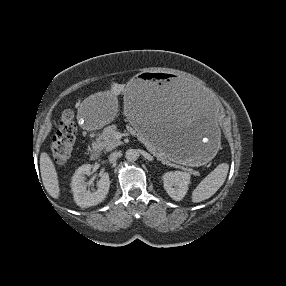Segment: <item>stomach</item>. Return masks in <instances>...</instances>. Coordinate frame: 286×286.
I'll list each match as a JSON object with an SVG mask.
<instances>
[{
  "instance_id": "stomach-1",
  "label": "stomach",
  "mask_w": 286,
  "mask_h": 286,
  "mask_svg": "<svg viewBox=\"0 0 286 286\" xmlns=\"http://www.w3.org/2000/svg\"><path fill=\"white\" fill-rule=\"evenodd\" d=\"M121 98L101 87L76 106L81 126L97 130L121 111ZM124 114L147 142L170 161L200 166L210 161L219 140L221 109L207 91L184 77L167 71H147L135 76L124 96Z\"/></svg>"
}]
</instances>
